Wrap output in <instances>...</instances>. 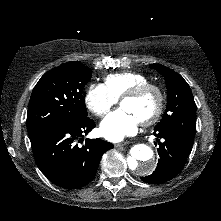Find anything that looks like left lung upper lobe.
<instances>
[{
  "instance_id": "5c2ea615",
  "label": "left lung upper lobe",
  "mask_w": 221,
  "mask_h": 221,
  "mask_svg": "<svg viewBox=\"0 0 221 221\" xmlns=\"http://www.w3.org/2000/svg\"><path fill=\"white\" fill-rule=\"evenodd\" d=\"M150 67L164 76L168 91L166 112L154 129H170L193 142L197 107L189 85L180 74L163 65Z\"/></svg>"
}]
</instances>
